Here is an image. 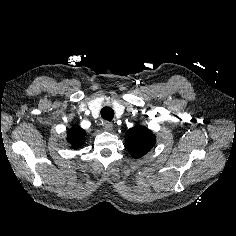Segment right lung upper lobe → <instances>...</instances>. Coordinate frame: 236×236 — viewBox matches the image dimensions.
Segmentation results:
<instances>
[{
	"instance_id": "right-lung-upper-lobe-1",
	"label": "right lung upper lobe",
	"mask_w": 236,
	"mask_h": 236,
	"mask_svg": "<svg viewBox=\"0 0 236 236\" xmlns=\"http://www.w3.org/2000/svg\"><path fill=\"white\" fill-rule=\"evenodd\" d=\"M86 133L78 125H74L69 131L67 141L71 143L72 148L78 149L84 143Z\"/></svg>"
}]
</instances>
